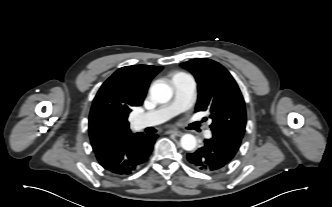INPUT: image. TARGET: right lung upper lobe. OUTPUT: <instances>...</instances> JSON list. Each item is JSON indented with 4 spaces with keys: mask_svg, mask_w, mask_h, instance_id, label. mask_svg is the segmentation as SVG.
<instances>
[{
    "mask_svg": "<svg viewBox=\"0 0 332 207\" xmlns=\"http://www.w3.org/2000/svg\"><path fill=\"white\" fill-rule=\"evenodd\" d=\"M162 68L122 67L103 83L93 100L89 117L94 151L113 146L131 134L128 115L133 107L142 105L150 81Z\"/></svg>",
    "mask_w": 332,
    "mask_h": 207,
    "instance_id": "right-lung-upper-lobe-1",
    "label": "right lung upper lobe"
}]
</instances>
